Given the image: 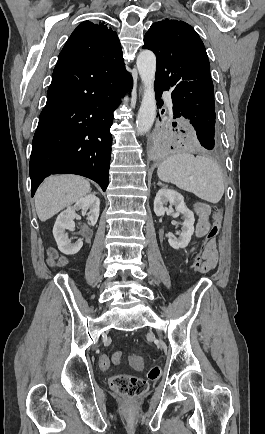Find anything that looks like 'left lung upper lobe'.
<instances>
[{
	"label": "left lung upper lobe",
	"instance_id": "left-lung-upper-lobe-1",
	"mask_svg": "<svg viewBox=\"0 0 265 434\" xmlns=\"http://www.w3.org/2000/svg\"><path fill=\"white\" fill-rule=\"evenodd\" d=\"M144 49L157 59L155 85L171 89L173 105L193 127L215 126L214 87L202 40L184 21L163 19L151 25Z\"/></svg>",
	"mask_w": 265,
	"mask_h": 434
}]
</instances>
